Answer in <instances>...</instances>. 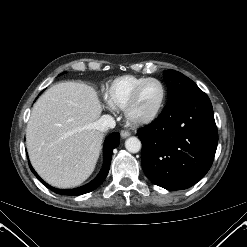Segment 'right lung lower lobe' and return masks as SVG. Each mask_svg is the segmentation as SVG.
Returning a JSON list of instances; mask_svg holds the SVG:
<instances>
[{
    "label": "right lung lower lobe",
    "mask_w": 247,
    "mask_h": 247,
    "mask_svg": "<svg viewBox=\"0 0 247 247\" xmlns=\"http://www.w3.org/2000/svg\"><path fill=\"white\" fill-rule=\"evenodd\" d=\"M120 142V134L117 132H114L112 134H110L104 143V165L100 171V173L98 174V176L92 180L90 183L81 186L79 188H75V189H57V188H53L50 185H48L47 183H45L39 176L38 174L35 172V170L32 168V166L29 163L30 169L33 172V174L50 190H52L53 192H56L58 194L61 195H82L88 192H91L93 190H95L97 187H99L102 182L104 181V179L106 178L108 172H109V168H110V163H111V158H112V152L113 149L115 147H117L119 145Z\"/></svg>",
    "instance_id": "obj_1"
}]
</instances>
